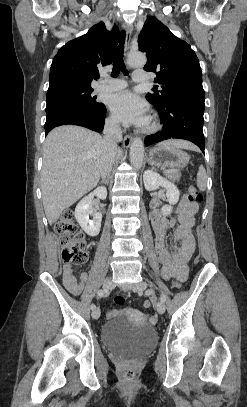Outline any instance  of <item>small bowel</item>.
<instances>
[{
	"instance_id": "obj_1",
	"label": "small bowel",
	"mask_w": 247,
	"mask_h": 407,
	"mask_svg": "<svg viewBox=\"0 0 247 407\" xmlns=\"http://www.w3.org/2000/svg\"><path fill=\"white\" fill-rule=\"evenodd\" d=\"M198 206L185 196L175 208V217H167L159 210H154L151 217L152 227L156 234V250L162 264V275L166 279L176 278L184 281L188 276V264L195 251V239L192 227ZM174 228L175 249L172 253L166 247L168 230ZM88 279L87 272H82L78 282L70 264L63 266V281L72 294H80Z\"/></svg>"
}]
</instances>
